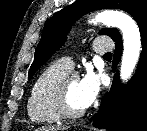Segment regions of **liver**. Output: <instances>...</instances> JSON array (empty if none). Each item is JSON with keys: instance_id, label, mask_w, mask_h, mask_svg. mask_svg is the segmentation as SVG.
<instances>
[{"instance_id": "6515ba94", "label": "liver", "mask_w": 147, "mask_h": 131, "mask_svg": "<svg viewBox=\"0 0 147 131\" xmlns=\"http://www.w3.org/2000/svg\"><path fill=\"white\" fill-rule=\"evenodd\" d=\"M67 130V127H61V126H43L41 128L36 129V131H64Z\"/></svg>"}]
</instances>
